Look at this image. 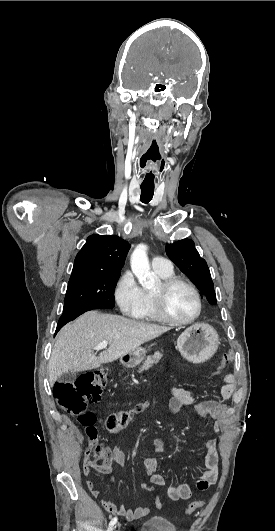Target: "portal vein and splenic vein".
Here are the masks:
<instances>
[{
	"mask_svg": "<svg viewBox=\"0 0 275 531\" xmlns=\"http://www.w3.org/2000/svg\"><path fill=\"white\" fill-rule=\"evenodd\" d=\"M108 341H102L98 343L97 347H94V351H101V349H107Z\"/></svg>",
	"mask_w": 275,
	"mask_h": 531,
	"instance_id": "18ae733b",
	"label": "portal vein and splenic vein"
}]
</instances>
